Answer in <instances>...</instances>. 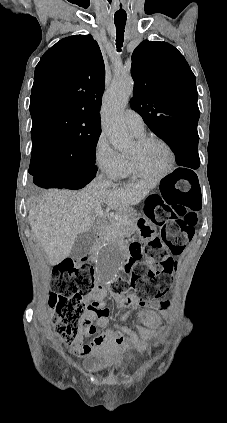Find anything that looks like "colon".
<instances>
[{
  "instance_id": "obj_1",
  "label": "colon",
  "mask_w": 227,
  "mask_h": 423,
  "mask_svg": "<svg viewBox=\"0 0 227 423\" xmlns=\"http://www.w3.org/2000/svg\"><path fill=\"white\" fill-rule=\"evenodd\" d=\"M201 208L200 187L191 172L176 171L163 179L145 208L147 217L161 228L163 240L154 239L144 248L132 242L124 259L125 275L112 283L111 292L122 296L133 289L147 302L169 291L177 267L172 255L180 254L192 239ZM140 230L145 238L152 233L146 223L141 224ZM144 254L146 261L142 260ZM94 286L93 267L85 258L64 259L53 270L49 303L54 310L55 329L68 343L77 336L86 308L84 296Z\"/></svg>"
}]
</instances>
